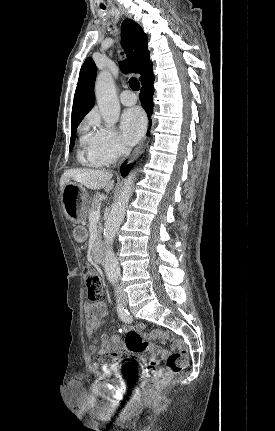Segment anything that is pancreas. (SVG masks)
I'll list each match as a JSON object with an SVG mask.
<instances>
[{
    "instance_id": "1",
    "label": "pancreas",
    "mask_w": 275,
    "mask_h": 431,
    "mask_svg": "<svg viewBox=\"0 0 275 431\" xmlns=\"http://www.w3.org/2000/svg\"><path fill=\"white\" fill-rule=\"evenodd\" d=\"M102 199H103V195H101L99 193H97L94 196L92 203H91V207L89 208V213L95 211L100 206ZM100 227H101V225L99 224L98 233H100V229H101Z\"/></svg>"
}]
</instances>
